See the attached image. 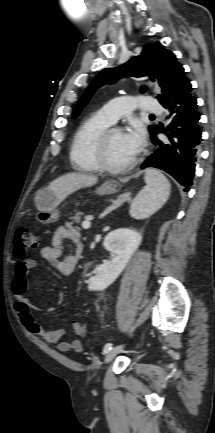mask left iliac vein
<instances>
[{
  "label": "left iliac vein",
  "instance_id": "1",
  "mask_svg": "<svg viewBox=\"0 0 215 433\" xmlns=\"http://www.w3.org/2000/svg\"><path fill=\"white\" fill-rule=\"evenodd\" d=\"M122 349H123V345H118L114 348H111L106 354L105 362L106 363L111 362L115 358V356L122 351Z\"/></svg>",
  "mask_w": 215,
  "mask_h": 433
}]
</instances>
